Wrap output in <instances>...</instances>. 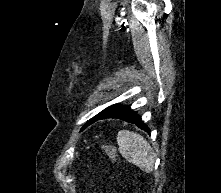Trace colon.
I'll use <instances>...</instances> for the list:
<instances>
[{
  "label": "colon",
  "instance_id": "obj_1",
  "mask_svg": "<svg viewBox=\"0 0 221 193\" xmlns=\"http://www.w3.org/2000/svg\"><path fill=\"white\" fill-rule=\"evenodd\" d=\"M101 149L112 159L115 160L117 158L116 150L113 146L103 144L101 145Z\"/></svg>",
  "mask_w": 221,
  "mask_h": 193
}]
</instances>
